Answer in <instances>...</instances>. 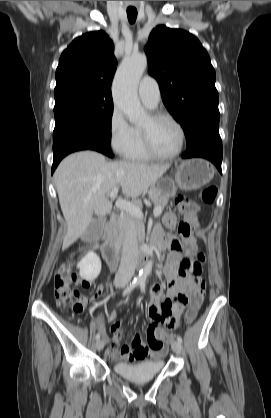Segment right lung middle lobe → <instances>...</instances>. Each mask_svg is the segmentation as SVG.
Here are the masks:
<instances>
[{
    "label": "right lung middle lobe",
    "mask_w": 271,
    "mask_h": 418,
    "mask_svg": "<svg viewBox=\"0 0 271 418\" xmlns=\"http://www.w3.org/2000/svg\"><path fill=\"white\" fill-rule=\"evenodd\" d=\"M113 101L70 98L55 102L53 144L92 133L110 137Z\"/></svg>",
    "instance_id": "1"
}]
</instances>
